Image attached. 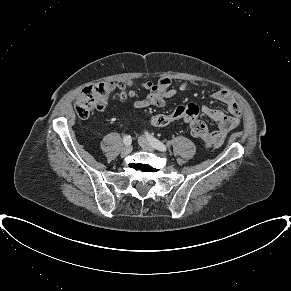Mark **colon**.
Listing matches in <instances>:
<instances>
[{"mask_svg":"<svg viewBox=\"0 0 291 291\" xmlns=\"http://www.w3.org/2000/svg\"><path fill=\"white\" fill-rule=\"evenodd\" d=\"M133 95L129 82H104L85 87L77 96L75 111L78 117L87 118L95 110H102L114 99H126ZM199 109L193 104L178 106L170 113L153 115L150 123L156 127H164L173 122L183 120L190 126L194 136L203 140L207 149H214L218 141L207 125L198 118Z\"/></svg>","mask_w":291,"mask_h":291,"instance_id":"obj_1","label":"colon"}]
</instances>
